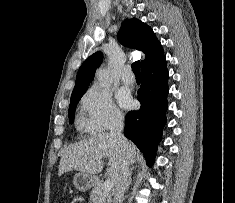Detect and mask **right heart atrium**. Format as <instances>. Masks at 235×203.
Wrapping results in <instances>:
<instances>
[{"label": "right heart atrium", "mask_w": 235, "mask_h": 203, "mask_svg": "<svg viewBox=\"0 0 235 203\" xmlns=\"http://www.w3.org/2000/svg\"><path fill=\"white\" fill-rule=\"evenodd\" d=\"M84 127L91 132H102L119 123L123 113L113 101L106 88L94 84L81 99Z\"/></svg>", "instance_id": "right-heart-atrium-1"}]
</instances>
